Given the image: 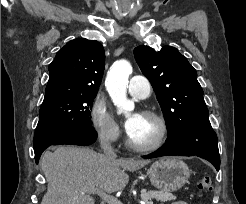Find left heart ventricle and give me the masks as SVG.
I'll list each match as a JSON object with an SVG mask.
<instances>
[{
	"instance_id": "obj_1",
	"label": "left heart ventricle",
	"mask_w": 246,
	"mask_h": 204,
	"mask_svg": "<svg viewBox=\"0 0 246 204\" xmlns=\"http://www.w3.org/2000/svg\"><path fill=\"white\" fill-rule=\"evenodd\" d=\"M158 132V123L152 118L141 115L136 128L129 134V136L138 144H148L155 140Z\"/></svg>"
}]
</instances>
